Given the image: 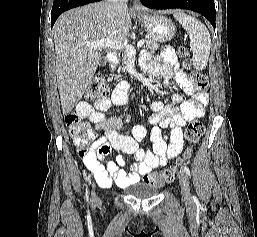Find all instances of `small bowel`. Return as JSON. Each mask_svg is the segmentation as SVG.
<instances>
[{"label":"small bowel","instance_id":"1","mask_svg":"<svg viewBox=\"0 0 257 237\" xmlns=\"http://www.w3.org/2000/svg\"><path fill=\"white\" fill-rule=\"evenodd\" d=\"M143 67L151 75L162 76L165 83L173 79L191 99L185 100L181 93H175L172 95L171 104L160 101L151 104V109L155 112L148 118L152 125V150L140 147L147 135L144 125L135 126L131 135L123 134L119 131L126 127L129 115L107 118L104 114L112 106L125 104L129 90L127 81L120 82L110 97L94 105L86 101L79 102L76 107L78 115L88 119L95 130L104 132L103 136L95 138L94 132L89 130L93 140L90 145L81 146L75 140L79 155L101 187H110L113 184L125 187L137 182L140 176L164 167L182 152L185 125L204 115L203 108L208 103V95L204 91L196 90L184 72L178 69L173 71L176 67V55L172 49L163 50L159 58L145 62ZM163 130H168V133ZM113 150L133 155L136 163L127 168L121 157H117L115 161L107 160Z\"/></svg>","mask_w":257,"mask_h":237}]
</instances>
